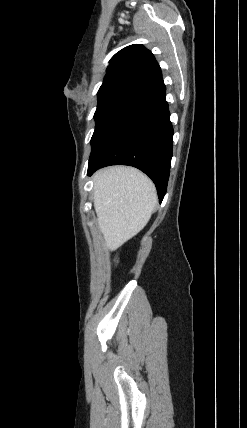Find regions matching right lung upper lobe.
<instances>
[{
	"label": "right lung upper lobe",
	"instance_id": "right-lung-upper-lobe-1",
	"mask_svg": "<svg viewBox=\"0 0 247 428\" xmlns=\"http://www.w3.org/2000/svg\"><path fill=\"white\" fill-rule=\"evenodd\" d=\"M161 79L153 54L143 45L133 44L112 57L98 93L129 90L140 94Z\"/></svg>",
	"mask_w": 247,
	"mask_h": 428
}]
</instances>
